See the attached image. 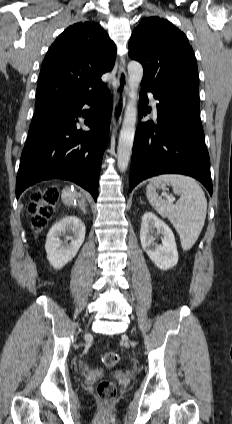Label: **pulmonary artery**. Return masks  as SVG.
<instances>
[{
	"instance_id": "e3ab8cb5",
	"label": "pulmonary artery",
	"mask_w": 232,
	"mask_h": 424,
	"mask_svg": "<svg viewBox=\"0 0 232 424\" xmlns=\"http://www.w3.org/2000/svg\"><path fill=\"white\" fill-rule=\"evenodd\" d=\"M148 96H149V99L151 101V104H152V107H153V111L156 114L157 113L156 100H155L154 96L151 93H149Z\"/></svg>"
}]
</instances>
